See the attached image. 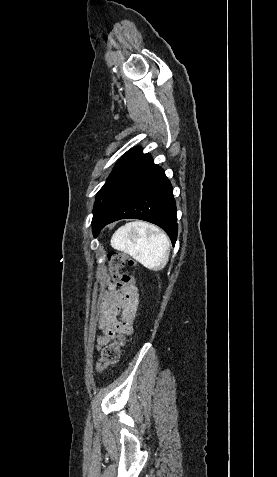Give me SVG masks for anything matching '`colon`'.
<instances>
[{
    "mask_svg": "<svg viewBox=\"0 0 277 477\" xmlns=\"http://www.w3.org/2000/svg\"><path fill=\"white\" fill-rule=\"evenodd\" d=\"M109 268L112 279L119 286L135 284V278L129 274L121 273L126 266H135V261L119 252H111L108 255ZM125 345L122 335L114 337L113 341L103 347L101 357L96 364L97 371H103L109 365L116 364L119 360L120 350Z\"/></svg>",
    "mask_w": 277,
    "mask_h": 477,
    "instance_id": "obj_1",
    "label": "colon"
}]
</instances>
